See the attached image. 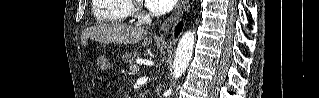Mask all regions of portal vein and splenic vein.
Wrapping results in <instances>:
<instances>
[{
  "instance_id": "18ae733b",
  "label": "portal vein and splenic vein",
  "mask_w": 319,
  "mask_h": 98,
  "mask_svg": "<svg viewBox=\"0 0 319 98\" xmlns=\"http://www.w3.org/2000/svg\"><path fill=\"white\" fill-rule=\"evenodd\" d=\"M130 70L132 72H138L139 71V67L136 64H133L130 66Z\"/></svg>"
}]
</instances>
